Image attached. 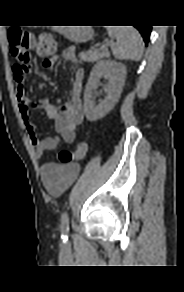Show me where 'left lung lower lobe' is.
<instances>
[{
    "label": "left lung lower lobe",
    "instance_id": "0a47b994",
    "mask_svg": "<svg viewBox=\"0 0 184 292\" xmlns=\"http://www.w3.org/2000/svg\"><path fill=\"white\" fill-rule=\"evenodd\" d=\"M134 27H136L139 32L141 33L145 44H148V40H149V36H150V32H151V26H144V25H135Z\"/></svg>",
    "mask_w": 184,
    "mask_h": 292
}]
</instances>
